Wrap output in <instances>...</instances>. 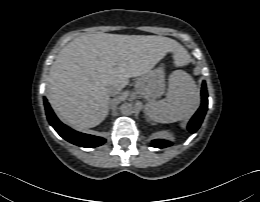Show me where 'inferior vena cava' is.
I'll return each mask as SVG.
<instances>
[{"instance_id":"inferior-vena-cava-1","label":"inferior vena cava","mask_w":260,"mask_h":202,"mask_svg":"<svg viewBox=\"0 0 260 202\" xmlns=\"http://www.w3.org/2000/svg\"><path fill=\"white\" fill-rule=\"evenodd\" d=\"M121 88L120 87H112L109 90L110 95H116L120 92Z\"/></svg>"}]
</instances>
